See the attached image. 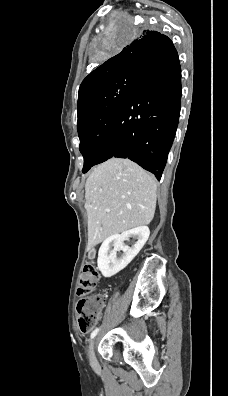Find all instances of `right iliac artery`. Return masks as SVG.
Segmentation results:
<instances>
[{"mask_svg": "<svg viewBox=\"0 0 228 396\" xmlns=\"http://www.w3.org/2000/svg\"><path fill=\"white\" fill-rule=\"evenodd\" d=\"M98 331H99V328H96V329L91 333L90 339H93V338L97 335Z\"/></svg>", "mask_w": 228, "mask_h": 396, "instance_id": "obj_1", "label": "right iliac artery"}]
</instances>
